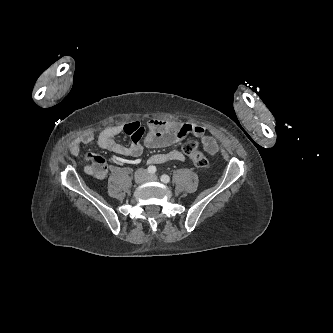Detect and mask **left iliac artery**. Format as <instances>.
I'll return each mask as SVG.
<instances>
[{
  "mask_svg": "<svg viewBox=\"0 0 333 333\" xmlns=\"http://www.w3.org/2000/svg\"><path fill=\"white\" fill-rule=\"evenodd\" d=\"M160 179L164 183H169L170 182V177L168 175H165V174L162 175Z\"/></svg>",
  "mask_w": 333,
  "mask_h": 333,
  "instance_id": "obj_1",
  "label": "left iliac artery"
}]
</instances>
